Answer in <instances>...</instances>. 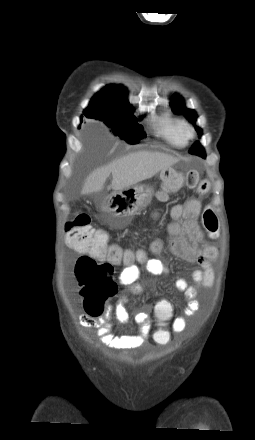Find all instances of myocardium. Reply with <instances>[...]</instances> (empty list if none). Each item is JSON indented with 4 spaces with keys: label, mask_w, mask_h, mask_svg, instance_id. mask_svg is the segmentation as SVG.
<instances>
[{
    "label": "myocardium",
    "mask_w": 255,
    "mask_h": 440,
    "mask_svg": "<svg viewBox=\"0 0 255 440\" xmlns=\"http://www.w3.org/2000/svg\"><path fill=\"white\" fill-rule=\"evenodd\" d=\"M195 135V130L192 125L185 123L183 126V136L186 141L193 138Z\"/></svg>",
    "instance_id": "myocardium-1"
}]
</instances>
